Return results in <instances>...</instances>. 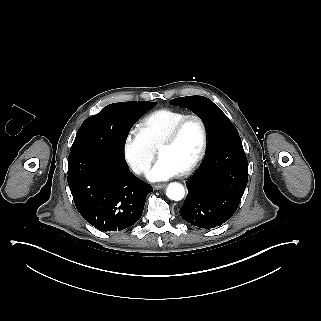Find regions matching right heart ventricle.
<instances>
[{"instance_id": "e07e8e85", "label": "right heart ventricle", "mask_w": 321, "mask_h": 321, "mask_svg": "<svg viewBox=\"0 0 321 321\" xmlns=\"http://www.w3.org/2000/svg\"><path fill=\"white\" fill-rule=\"evenodd\" d=\"M188 113L170 108L157 109L140 122V128L149 142L160 139L171 127Z\"/></svg>"}]
</instances>
